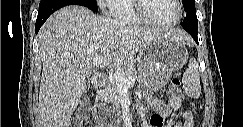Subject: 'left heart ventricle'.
<instances>
[{"label": "left heart ventricle", "instance_id": "left-heart-ventricle-1", "mask_svg": "<svg viewBox=\"0 0 243 127\" xmlns=\"http://www.w3.org/2000/svg\"><path fill=\"white\" fill-rule=\"evenodd\" d=\"M147 12L161 22H173L179 14L174 0H145Z\"/></svg>", "mask_w": 243, "mask_h": 127}]
</instances>
